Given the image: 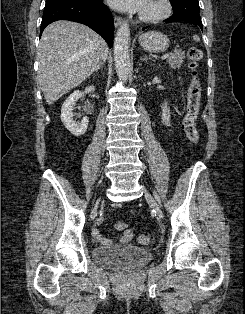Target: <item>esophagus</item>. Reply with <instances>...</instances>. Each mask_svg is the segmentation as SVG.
Instances as JSON below:
<instances>
[{
  "label": "esophagus",
  "instance_id": "esophagus-1",
  "mask_svg": "<svg viewBox=\"0 0 245 314\" xmlns=\"http://www.w3.org/2000/svg\"><path fill=\"white\" fill-rule=\"evenodd\" d=\"M122 23H123V20H122L121 17H117V16H116V17L114 18V24H115L116 27H119Z\"/></svg>",
  "mask_w": 245,
  "mask_h": 314
}]
</instances>
